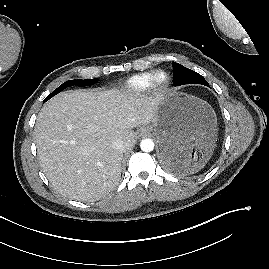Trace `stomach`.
<instances>
[{"mask_svg": "<svg viewBox=\"0 0 269 269\" xmlns=\"http://www.w3.org/2000/svg\"><path fill=\"white\" fill-rule=\"evenodd\" d=\"M147 129L156 136L164 167L183 171L209 159L216 146L217 117L202 99L168 92L157 99L155 117ZM172 158L166 159V152Z\"/></svg>", "mask_w": 269, "mask_h": 269, "instance_id": "1", "label": "stomach"}]
</instances>
